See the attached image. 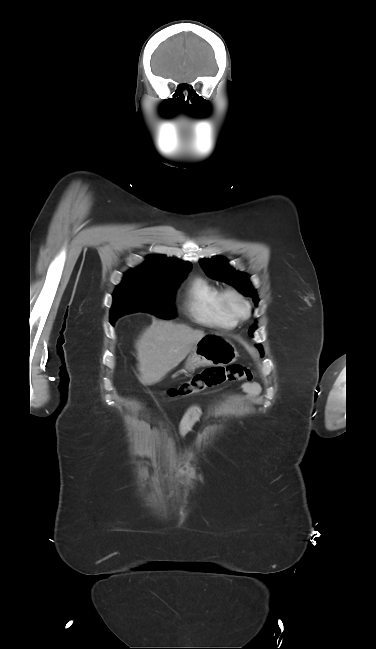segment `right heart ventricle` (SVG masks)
Wrapping results in <instances>:
<instances>
[{
    "label": "right heart ventricle",
    "instance_id": "e07e8e85",
    "mask_svg": "<svg viewBox=\"0 0 376 649\" xmlns=\"http://www.w3.org/2000/svg\"><path fill=\"white\" fill-rule=\"evenodd\" d=\"M221 295L220 287L198 276L186 286L183 306L188 315L201 324L230 329L236 326L237 320L225 310Z\"/></svg>",
    "mask_w": 376,
    "mask_h": 649
}]
</instances>
